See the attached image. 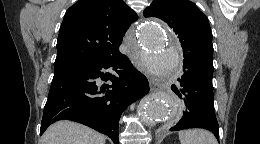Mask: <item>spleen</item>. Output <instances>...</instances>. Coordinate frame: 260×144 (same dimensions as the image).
<instances>
[{
	"instance_id": "1",
	"label": "spleen",
	"mask_w": 260,
	"mask_h": 144,
	"mask_svg": "<svg viewBox=\"0 0 260 144\" xmlns=\"http://www.w3.org/2000/svg\"><path fill=\"white\" fill-rule=\"evenodd\" d=\"M181 144H217L212 133L203 129H189L179 132Z\"/></svg>"
}]
</instances>
